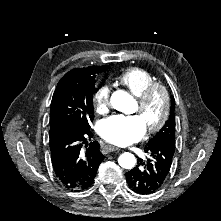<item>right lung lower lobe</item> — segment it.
Listing matches in <instances>:
<instances>
[{
	"mask_svg": "<svg viewBox=\"0 0 221 221\" xmlns=\"http://www.w3.org/2000/svg\"><path fill=\"white\" fill-rule=\"evenodd\" d=\"M89 129H61L50 135L51 160L60 183L71 191L89 188L104 159L97 141L87 143L92 137ZM85 144L86 150L83 149Z\"/></svg>",
	"mask_w": 221,
	"mask_h": 221,
	"instance_id": "98d812e1",
	"label": "right lung lower lobe"
}]
</instances>
